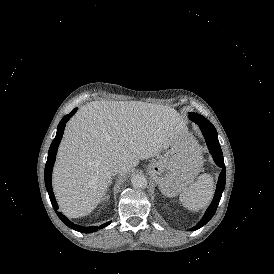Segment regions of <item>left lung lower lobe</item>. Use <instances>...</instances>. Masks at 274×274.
<instances>
[{
  "mask_svg": "<svg viewBox=\"0 0 274 274\" xmlns=\"http://www.w3.org/2000/svg\"><path fill=\"white\" fill-rule=\"evenodd\" d=\"M189 118L195 122L196 124L199 125L209 148L210 153L213 155V159L215 163L222 168V171L219 176V181L217 183V189L214 195V199L207 209L204 217L202 220L191 230H196L199 229L200 227L204 226L215 214L217 206L219 204V201L222 196V192L225 188V177H226V172H225V165H224V160H223V154L222 150L220 148L218 138H217V131L215 127L202 115H199L197 113L190 112L189 113Z\"/></svg>",
  "mask_w": 274,
  "mask_h": 274,
  "instance_id": "obj_1",
  "label": "left lung lower lobe"
}]
</instances>
